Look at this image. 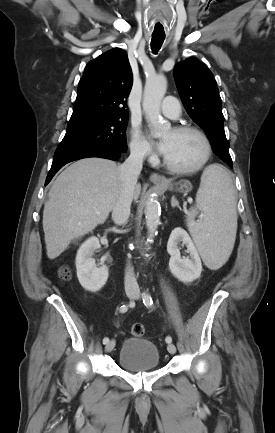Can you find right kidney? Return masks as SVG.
I'll use <instances>...</instances> for the list:
<instances>
[{
    "mask_svg": "<svg viewBox=\"0 0 275 433\" xmlns=\"http://www.w3.org/2000/svg\"><path fill=\"white\" fill-rule=\"evenodd\" d=\"M100 248L99 239L88 238L79 248L76 255L77 277L81 286L91 292L99 291L108 279V268L96 267L94 252Z\"/></svg>",
    "mask_w": 275,
    "mask_h": 433,
    "instance_id": "ca27d5eb",
    "label": "right kidney"
}]
</instances>
